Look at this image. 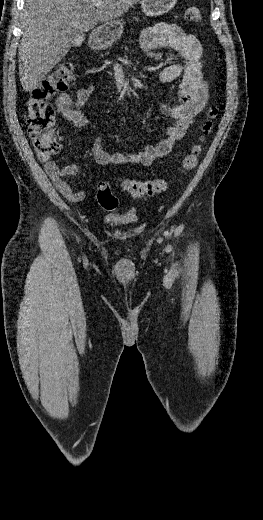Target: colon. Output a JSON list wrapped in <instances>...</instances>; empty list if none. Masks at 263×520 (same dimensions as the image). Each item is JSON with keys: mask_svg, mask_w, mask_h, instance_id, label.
<instances>
[{"mask_svg": "<svg viewBox=\"0 0 263 520\" xmlns=\"http://www.w3.org/2000/svg\"><path fill=\"white\" fill-rule=\"evenodd\" d=\"M185 18L191 22L201 20V12L197 6H189L185 11ZM75 80L74 66L71 63H63L52 70L31 92L26 102V125L36 155L41 162H49L61 148L55 135V111L50 104V99L67 90ZM218 115L215 106L207 112L208 120L202 126V140L213 129V121ZM202 152L201 145L193 146L181 162L180 171L187 172L194 169ZM121 186L133 198L153 196L165 191L168 181L162 178L149 180L123 179ZM97 200L100 206L107 211H114L119 206L117 197L106 182L98 184Z\"/></svg>", "mask_w": 263, "mask_h": 520, "instance_id": "5ec220e1", "label": "colon"}]
</instances>
